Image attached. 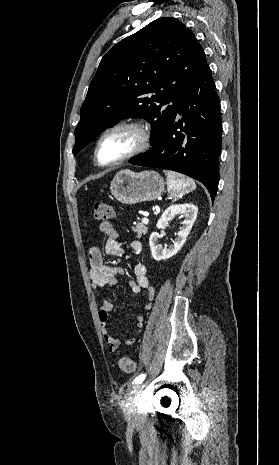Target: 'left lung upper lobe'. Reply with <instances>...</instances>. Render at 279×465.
<instances>
[{"label":"left lung upper lobe","instance_id":"obj_1","mask_svg":"<svg viewBox=\"0 0 279 465\" xmlns=\"http://www.w3.org/2000/svg\"><path fill=\"white\" fill-rule=\"evenodd\" d=\"M204 56L192 31L171 17L154 20L117 43L89 85L73 153L127 117L149 120L154 145L175 119Z\"/></svg>","mask_w":279,"mask_h":465}]
</instances>
